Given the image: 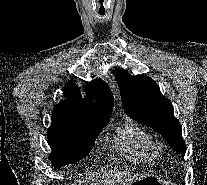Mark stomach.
Segmentation results:
<instances>
[{
	"label": "stomach",
	"instance_id": "obj_1",
	"mask_svg": "<svg viewBox=\"0 0 207 185\" xmlns=\"http://www.w3.org/2000/svg\"><path fill=\"white\" fill-rule=\"evenodd\" d=\"M132 185H164L157 177L147 176L132 183Z\"/></svg>",
	"mask_w": 207,
	"mask_h": 185
}]
</instances>
